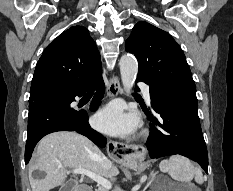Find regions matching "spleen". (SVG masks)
Returning a JSON list of instances; mask_svg holds the SVG:
<instances>
[{
    "label": "spleen",
    "instance_id": "1",
    "mask_svg": "<svg viewBox=\"0 0 233 191\" xmlns=\"http://www.w3.org/2000/svg\"><path fill=\"white\" fill-rule=\"evenodd\" d=\"M162 172L178 182L189 183L194 178L198 184L203 183V175L200 169L196 168L191 161L181 155H173L168 160H162L159 164Z\"/></svg>",
    "mask_w": 233,
    "mask_h": 191
}]
</instances>
